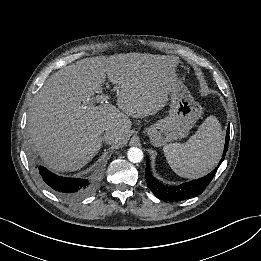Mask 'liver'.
Listing matches in <instances>:
<instances>
[{"label": "liver", "instance_id": "obj_1", "mask_svg": "<svg viewBox=\"0 0 261 261\" xmlns=\"http://www.w3.org/2000/svg\"><path fill=\"white\" fill-rule=\"evenodd\" d=\"M174 56L127 53L84 58L51 75L34 97L27 133L44 163L58 172L81 169L107 142L126 143L132 118L154 115L177 81ZM114 84L116 106H96L91 97L106 80Z\"/></svg>", "mask_w": 261, "mask_h": 261}]
</instances>
